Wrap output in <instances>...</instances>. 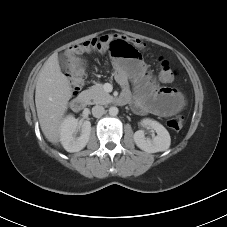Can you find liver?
Segmentation results:
<instances>
[{"label": "liver", "instance_id": "1", "mask_svg": "<svg viewBox=\"0 0 227 227\" xmlns=\"http://www.w3.org/2000/svg\"><path fill=\"white\" fill-rule=\"evenodd\" d=\"M72 97V88L61 72L58 57L53 54L41 68L35 92L37 116L46 139L58 144L62 119Z\"/></svg>", "mask_w": 227, "mask_h": 227}]
</instances>
